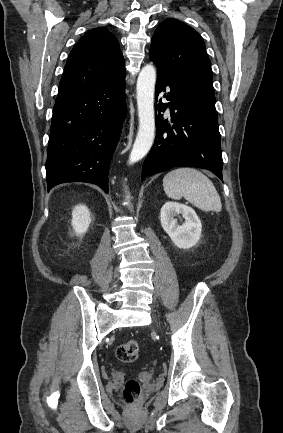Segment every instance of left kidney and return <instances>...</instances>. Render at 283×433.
I'll return each instance as SVG.
<instances>
[{
	"mask_svg": "<svg viewBox=\"0 0 283 433\" xmlns=\"http://www.w3.org/2000/svg\"><path fill=\"white\" fill-rule=\"evenodd\" d=\"M180 214L185 218L182 225L174 218ZM160 220L164 231L177 247L189 249L199 241L202 224L191 207L177 202H166L161 208Z\"/></svg>",
	"mask_w": 283,
	"mask_h": 433,
	"instance_id": "left-kidney-1",
	"label": "left kidney"
}]
</instances>
